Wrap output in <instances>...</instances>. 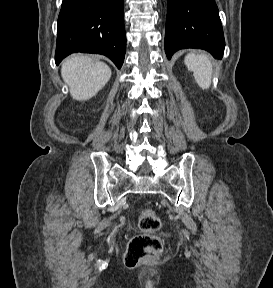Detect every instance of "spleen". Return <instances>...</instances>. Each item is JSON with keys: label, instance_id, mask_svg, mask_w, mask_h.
<instances>
[{"label": "spleen", "instance_id": "obj_1", "mask_svg": "<svg viewBox=\"0 0 273 288\" xmlns=\"http://www.w3.org/2000/svg\"><path fill=\"white\" fill-rule=\"evenodd\" d=\"M184 62L188 70L193 72L198 86L202 89H209L213 71L209 57L205 54L189 53L185 56Z\"/></svg>", "mask_w": 273, "mask_h": 288}]
</instances>
